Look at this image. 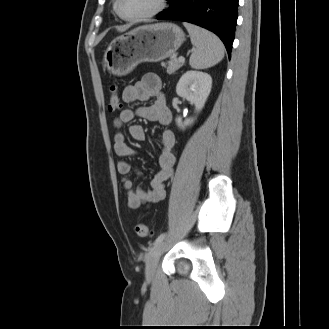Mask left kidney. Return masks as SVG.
<instances>
[{
    "mask_svg": "<svg viewBox=\"0 0 329 329\" xmlns=\"http://www.w3.org/2000/svg\"><path fill=\"white\" fill-rule=\"evenodd\" d=\"M212 78L209 74L200 71H187L182 75L176 86L178 96L185 98L195 105L197 112L201 111L210 94ZM176 124L181 129L190 126L194 118L186 119L182 123L181 117L175 119Z\"/></svg>",
    "mask_w": 329,
    "mask_h": 329,
    "instance_id": "obj_1",
    "label": "left kidney"
}]
</instances>
